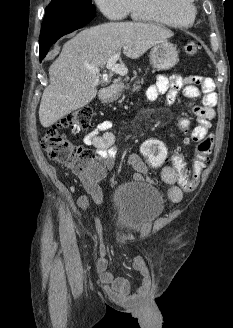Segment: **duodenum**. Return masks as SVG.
<instances>
[{
	"instance_id": "410a0bca",
	"label": "duodenum",
	"mask_w": 233,
	"mask_h": 328,
	"mask_svg": "<svg viewBox=\"0 0 233 328\" xmlns=\"http://www.w3.org/2000/svg\"><path fill=\"white\" fill-rule=\"evenodd\" d=\"M117 91L118 85L117 83H113L100 91L99 98L102 102H109L116 96Z\"/></svg>"
}]
</instances>
